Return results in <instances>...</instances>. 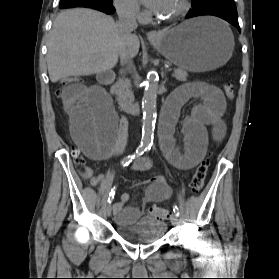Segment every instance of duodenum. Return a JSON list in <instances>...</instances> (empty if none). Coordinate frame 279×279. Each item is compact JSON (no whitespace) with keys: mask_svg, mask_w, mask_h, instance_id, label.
<instances>
[{"mask_svg":"<svg viewBox=\"0 0 279 279\" xmlns=\"http://www.w3.org/2000/svg\"><path fill=\"white\" fill-rule=\"evenodd\" d=\"M101 82L113 83V74L110 72H102L98 75ZM119 107L130 114L133 115H140V102L138 100L128 101V100H119L118 101Z\"/></svg>","mask_w":279,"mask_h":279,"instance_id":"duodenum-1","label":"duodenum"}]
</instances>
